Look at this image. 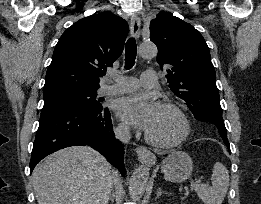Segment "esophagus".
I'll list each match as a JSON object with an SVG mask.
<instances>
[{
  "instance_id": "1",
  "label": "esophagus",
  "mask_w": 261,
  "mask_h": 204,
  "mask_svg": "<svg viewBox=\"0 0 261 204\" xmlns=\"http://www.w3.org/2000/svg\"><path fill=\"white\" fill-rule=\"evenodd\" d=\"M130 33L134 38H138L140 35V18L137 15H133L130 21ZM138 160L148 166L153 165L156 161L155 155L144 146H138L136 148Z\"/></svg>"
}]
</instances>
